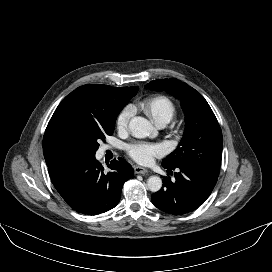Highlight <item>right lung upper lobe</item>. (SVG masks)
<instances>
[{"instance_id": "cb5924a9", "label": "right lung upper lobe", "mask_w": 272, "mask_h": 272, "mask_svg": "<svg viewBox=\"0 0 272 272\" xmlns=\"http://www.w3.org/2000/svg\"><path fill=\"white\" fill-rule=\"evenodd\" d=\"M138 87L83 85L68 94L52 115L43 138L47 166L60 162L61 140L69 135L105 132Z\"/></svg>"}]
</instances>
